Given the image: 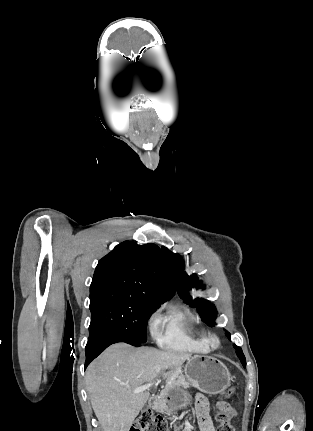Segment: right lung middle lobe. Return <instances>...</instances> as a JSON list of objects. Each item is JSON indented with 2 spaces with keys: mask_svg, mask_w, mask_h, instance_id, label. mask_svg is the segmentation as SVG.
<instances>
[{
  "mask_svg": "<svg viewBox=\"0 0 313 431\" xmlns=\"http://www.w3.org/2000/svg\"><path fill=\"white\" fill-rule=\"evenodd\" d=\"M160 305L126 292L109 291L94 295L90 297L89 338L101 332H113L145 343L148 319Z\"/></svg>",
  "mask_w": 313,
  "mask_h": 431,
  "instance_id": "1",
  "label": "right lung middle lobe"
}]
</instances>
